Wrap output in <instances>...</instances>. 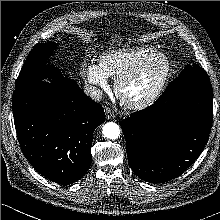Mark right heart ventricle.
I'll list each match as a JSON object with an SVG mask.
<instances>
[{
	"label": "right heart ventricle",
	"mask_w": 220,
	"mask_h": 220,
	"mask_svg": "<svg viewBox=\"0 0 220 220\" xmlns=\"http://www.w3.org/2000/svg\"><path fill=\"white\" fill-rule=\"evenodd\" d=\"M154 51L155 48L148 45L111 49L100 56L99 66L108 77L117 79L135 66L142 58Z\"/></svg>",
	"instance_id": "right-heart-ventricle-1"
}]
</instances>
